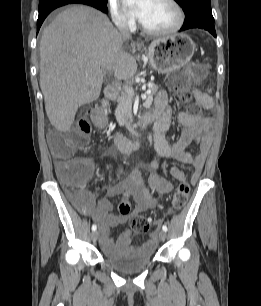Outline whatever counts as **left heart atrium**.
<instances>
[{"instance_id":"39dd6f15","label":"left heart atrium","mask_w":261,"mask_h":306,"mask_svg":"<svg viewBox=\"0 0 261 306\" xmlns=\"http://www.w3.org/2000/svg\"><path fill=\"white\" fill-rule=\"evenodd\" d=\"M148 0H123V3L128 13L135 17L140 18Z\"/></svg>"}]
</instances>
